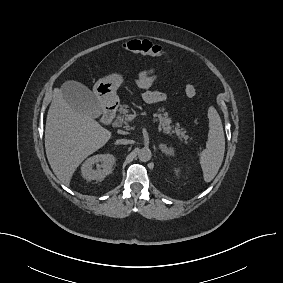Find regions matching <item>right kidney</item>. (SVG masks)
Here are the masks:
<instances>
[{"mask_svg": "<svg viewBox=\"0 0 283 283\" xmlns=\"http://www.w3.org/2000/svg\"><path fill=\"white\" fill-rule=\"evenodd\" d=\"M114 163L115 157L112 154H98L92 156L82 164V177L88 181H102L107 175L112 172ZM94 164L97 165L96 169H93Z\"/></svg>", "mask_w": 283, "mask_h": 283, "instance_id": "ca27d5eb", "label": "right kidney"}]
</instances>
